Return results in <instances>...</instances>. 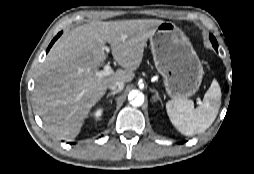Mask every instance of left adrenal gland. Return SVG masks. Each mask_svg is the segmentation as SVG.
<instances>
[{"label":"left adrenal gland","mask_w":254,"mask_h":174,"mask_svg":"<svg viewBox=\"0 0 254 174\" xmlns=\"http://www.w3.org/2000/svg\"><path fill=\"white\" fill-rule=\"evenodd\" d=\"M153 92H155V96L153 97V100L156 102V101H160L161 104H162V101H161V98L159 97V94L156 90H152Z\"/></svg>","instance_id":"a2214340"}]
</instances>
